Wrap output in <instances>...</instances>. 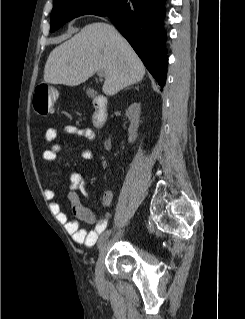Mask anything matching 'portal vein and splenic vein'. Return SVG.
Masks as SVG:
<instances>
[{
	"instance_id": "18ae733b",
	"label": "portal vein and splenic vein",
	"mask_w": 245,
	"mask_h": 319,
	"mask_svg": "<svg viewBox=\"0 0 245 319\" xmlns=\"http://www.w3.org/2000/svg\"><path fill=\"white\" fill-rule=\"evenodd\" d=\"M97 75H98L99 77H103V76H104V72H103L102 70H98V71H97Z\"/></svg>"
}]
</instances>
